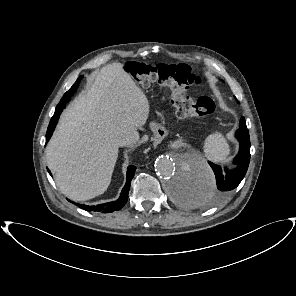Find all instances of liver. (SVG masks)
<instances>
[{
  "label": "liver",
  "instance_id": "1",
  "mask_svg": "<svg viewBox=\"0 0 296 296\" xmlns=\"http://www.w3.org/2000/svg\"><path fill=\"white\" fill-rule=\"evenodd\" d=\"M150 106L123 64L112 63L93 75L60 119L46 157L59 190L75 201L103 194L111 182L118 157V139H139Z\"/></svg>",
  "mask_w": 296,
  "mask_h": 296
}]
</instances>
